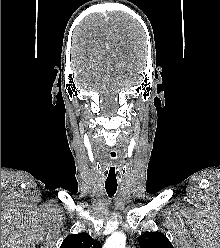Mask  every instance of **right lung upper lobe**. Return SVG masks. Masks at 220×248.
Listing matches in <instances>:
<instances>
[{
	"instance_id": "right-lung-upper-lobe-1",
	"label": "right lung upper lobe",
	"mask_w": 220,
	"mask_h": 248,
	"mask_svg": "<svg viewBox=\"0 0 220 248\" xmlns=\"http://www.w3.org/2000/svg\"><path fill=\"white\" fill-rule=\"evenodd\" d=\"M60 248H102V246L87 233H79L67 236Z\"/></svg>"
}]
</instances>
